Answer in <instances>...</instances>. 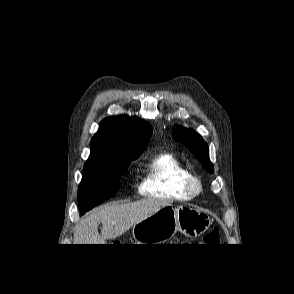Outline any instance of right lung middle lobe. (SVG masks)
Listing matches in <instances>:
<instances>
[{"mask_svg":"<svg viewBox=\"0 0 294 294\" xmlns=\"http://www.w3.org/2000/svg\"><path fill=\"white\" fill-rule=\"evenodd\" d=\"M134 158L124 154L90 155L78 189L80 211L86 212L112 197L120 187L121 176Z\"/></svg>","mask_w":294,"mask_h":294,"instance_id":"dd1d6c3e","label":"right lung middle lobe"}]
</instances>
